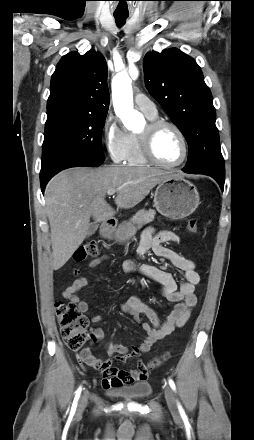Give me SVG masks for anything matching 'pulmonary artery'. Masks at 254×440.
Listing matches in <instances>:
<instances>
[{
	"label": "pulmonary artery",
	"mask_w": 254,
	"mask_h": 440,
	"mask_svg": "<svg viewBox=\"0 0 254 440\" xmlns=\"http://www.w3.org/2000/svg\"><path fill=\"white\" fill-rule=\"evenodd\" d=\"M136 107L147 116H156L157 109L153 101L142 93H137L134 98Z\"/></svg>",
	"instance_id": "obj_1"
}]
</instances>
